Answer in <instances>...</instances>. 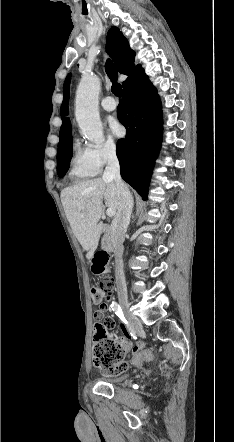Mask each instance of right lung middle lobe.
Segmentation results:
<instances>
[{"instance_id":"1","label":"right lung middle lobe","mask_w":234,"mask_h":442,"mask_svg":"<svg viewBox=\"0 0 234 442\" xmlns=\"http://www.w3.org/2000/svg\"><path fill=\"white\" fill-rule=\"evenodd\" d=\"M71 144L72 138L69 139L64 145L58 146L57 173L59 177H63L69 169V161L73 155Z\"/></svg>"}]
</instances>
